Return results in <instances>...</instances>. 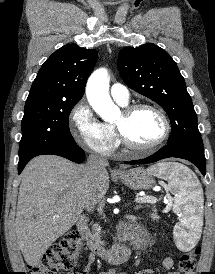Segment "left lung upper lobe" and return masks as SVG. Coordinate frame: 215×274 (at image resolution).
I'll return each instance as SVG.
<instances>
[{"label": "left lung upper lobe", "mask_w": 215, "mask_h": 274, "mask_svg": "<svg viewBox=\"0 0 215 274\" xmlns=\"http://www.w3.org/2000/svg\"><path fill=\"white\" fill-rule=\"evenodd\" d=\"M118 69L130 88L155 101L168 114L172 131L167 144L204 148L185 80L165 50L152 43L123 48Z\"/></svg>", "instance_id": "left-lung-upper-lobe-1"}]
</instances>
